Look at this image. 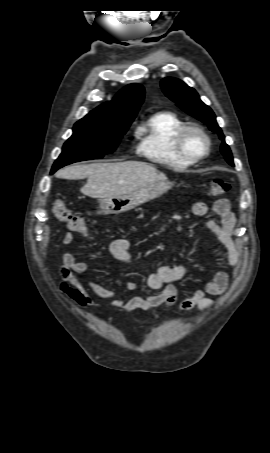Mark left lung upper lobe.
I'll use <instances>...</instances> for the list:
<instances>
[{
  "mask_svg": "<svg viewBox=\"0 0 270 453\" xmlns=\"http://www.w3.org/2000/svg\"><path fill=\"white\" fill-rule=\"evenodd\" d=\"M161 87L165 95L189 115L201 120L208 125L213 132H217L220 139L224 140V135L216 122V117L210 107L205 105L197 92L189 87L184 82L176 78H165L161 81ZM221 152L225 156L227 162L234 166L231 150L229 146L223 142Z\"/></svg>",
  "mask_w": 270,
  "mask_h": 453,
  "instance_id": "1",
  "label": "left lung upper lobe"
}]
</instances>
